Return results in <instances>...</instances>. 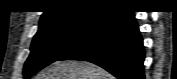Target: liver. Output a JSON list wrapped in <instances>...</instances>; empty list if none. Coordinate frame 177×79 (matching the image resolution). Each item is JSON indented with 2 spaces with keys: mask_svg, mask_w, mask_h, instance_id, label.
<instances>
[{
  "mask_svg": "<svg viewBox=\"0 0 177 79\" xmlns=\"http://www.w3.org/2000/svg\"><path fill=\"white\" fill-rule=\"evenodd\" d=\"M99 66L87 61H56L44 68L36 79H112Z\"/></svg>",
  "mask_w": 177,
  "mask_h": 79,
  "instance_id": "obj_1",
  "label": "liver"
}]
</instances>
